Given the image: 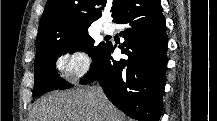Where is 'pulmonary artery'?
I'll list each match as a JSON object with an SVG mask.
<instances>
[{
    "mask_svg": "<svg viewBox=\"0 0 217 121\" xmlns=\"http://www.w3.org/2000/svg\"><path fill=\"white\" fill-rule=\"evenodd\" d=\"M102 30L104 33L106 34H111L114 32V26L112 23L110 22H105L103 25H102Z\"/></svg>",
    "mask_w": 217,
    "mask_h": 121,
    "instance_id": "e3ab8cb5",
    "label": "pulmonary artery"
}]
</instances>
